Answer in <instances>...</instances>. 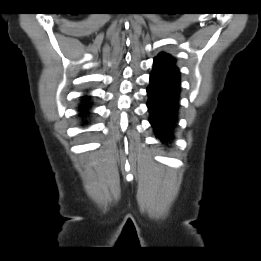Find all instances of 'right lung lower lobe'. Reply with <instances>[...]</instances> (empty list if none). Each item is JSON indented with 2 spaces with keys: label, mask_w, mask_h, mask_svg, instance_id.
Wrapping results in <instances>:
<instances>
[{
  "label": "right lung lower lobe",
  "mask_w": 261,
  "mask_h": 261,
  "mask_svg": "<svg viewBox=\"0 0 261 261\" xmlns=\"http://www.w3.org/2000/svg\"><path fill=\"white\" fill-rule=\"evenodd\" d=\"M82 99H83V102L81 104L80 110H81L82 114L87 115L88 110H89V105H88L86 97H83Z\"/></svg>",
  "instance_id": "obj_1"
}]
</instances>
